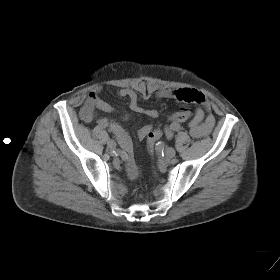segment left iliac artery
Here are the masks:
<instances>
[{
  "mask_svg": "<svg viewBox=\"0 0 280 280\" xmlns=\"http://www.w3.org/2000/svg\"><path fill=\"white\" fill-rule=\"evenodd\" d=\"M181 129V125L178 122H174L171 124L170 126V134H172L173 132H178Z\"/></svg>",
  "mask_w": 280,
  "mask_h": 280,
  "instance_id": "1",
  "label": "left iliac artery"
}]
</instances>
